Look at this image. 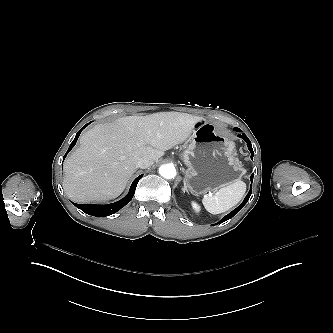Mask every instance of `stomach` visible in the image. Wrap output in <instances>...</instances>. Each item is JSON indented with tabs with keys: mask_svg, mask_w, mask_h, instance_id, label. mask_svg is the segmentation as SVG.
Masks as SVG:
<instances>
[{
	"mask_svg": "<svg viewBox=\"0 0 333 333\" xmlns=\"http://www.w3.org/2000/svg\"><path fill=\"white\" fill-rule=\"evenodd\" d=\"M198 123L181 154L187 166L186 184L194 195L216 192L240 180L246 173L236 157L234 142L204 119Z\"/></svg>",
	"mask_w": 333,
	"mask_h": 333,
	"instance_id": "0dacf381",
	"label": "stomach"
}]
</instances>
